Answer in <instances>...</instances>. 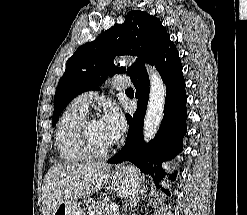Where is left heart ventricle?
I'll list each match as a JSON object with an SVG mask.
<instances>
[{
  "label": "left heart ventricle",
  "mask_w": 247,
  "mask_h": 215,
  "mask_svg": "<svg viewBox=\"0 0 247 215\" xmlns=\"http://www.w3.org/2000/svg\"><path fill=\"white\" fill-rule=\"evenodd\" d=\"M89 133L94 145L98 148H106L113 144L99 120H93L89 124Z\"/></svg>",
  "instance_id": "1"
}]
</instances>
